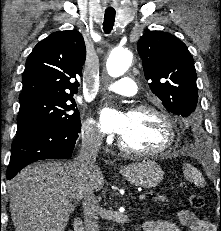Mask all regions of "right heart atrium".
<instances>
[{
	"mask_svg": "<svg viewBox=\"0 0 221 231\" xmlns=\"http://www.w3.org/2000/svg\"><path fill=\"white\" fill-rule=\"evenodd\" d=\"M81 136L85 142L95 145L99 144L102 138L101 134L95 126V123L92 120H86L82 124Z\"/></svg>",
	"mask_w": 221,
	"mask_h": 231,
	"instance_id": "obj_1",
	"label": "right heart atrium"
}]
</instances>
